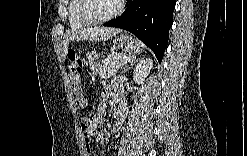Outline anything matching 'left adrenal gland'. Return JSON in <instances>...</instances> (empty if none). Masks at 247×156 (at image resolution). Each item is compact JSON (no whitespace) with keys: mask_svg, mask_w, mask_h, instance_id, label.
Masks as SVG:
<instances>
[{"mask_svg":"<svg viewBox=\"0 0 247 156\" xmlns=\"http://www.w3.org/2000/svg\"><path fill=\"white\" fill-rule=\"evenodd\" d=\"M139 59L137 57H132L131 61H129V63L127 65H125L124 69H123V73H125L128 69L131 68V66H133L136 62H138Z\"/></svg>","mask_w":247,"mask_h":156,"instance_id":"obj_1","label":"left adrenal gland"}]
</instances>
